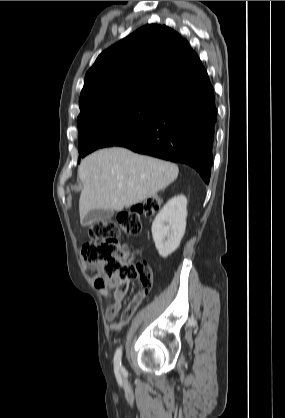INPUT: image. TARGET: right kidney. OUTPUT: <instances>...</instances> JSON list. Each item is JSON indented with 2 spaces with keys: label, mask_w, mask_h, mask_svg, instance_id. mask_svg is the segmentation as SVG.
I'll list each match as a JSON object with an SVG mask.
<instances>
[{
  "label": "right kidney",
  "mask_w": 285,
  "mask_h": 418,
  "mask_svg": "<svg viewBox=\"0 0 285 418\" xmlns=\"http://www.w3.org/2000/svg\"><path fill=\"white\" fill-rule=\"evenodd\" d=\"M186 217L187 199L184 195L170 199L155 217L151 230L161 257H168L178 248L185 233Z\"/></svg>",
  "instance_id": "1"
}]
</instances>
